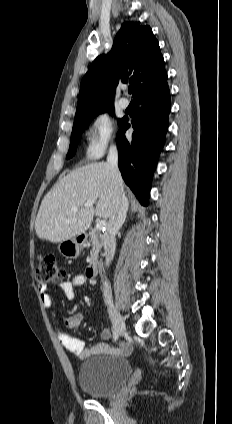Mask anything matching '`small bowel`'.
Wrapping results in <instances>:
<instances>
[{
	"mask_svg": "<svg viewBox=\"0 0 232 424\" xmlns=\"http://www.w3.org/2000/svg\"><path fill=\"white\" fill-rule=\"evenodd\" d=\"M95 285V280L87 273L78 274L71 280L62 282L59 286L67 299H73L75 290L83 285ZM38 290L40 291V298L45 308L52 306V298L46 293V286L39 284ZM84 314L82 312H74L66 315L64 326L67 330H75L81 324ZM59 341L63 348L72 356L84 360L93 355H111V356H128L132 351V347L128 343H122L119 347H111L105 343H98L91 346H86L85 343L65 330L59 329L57 331ZM112 336L110 329L105 328L100 333L102 340H109Z\"/></svg>",
	"mask_w": 232,
	"mask_h": 424,
	"instance_id": "1",
	"label": "small bowel"
}]
</instances>
